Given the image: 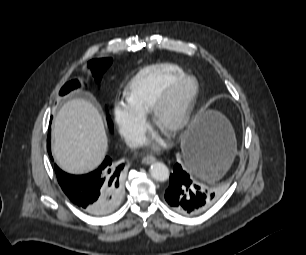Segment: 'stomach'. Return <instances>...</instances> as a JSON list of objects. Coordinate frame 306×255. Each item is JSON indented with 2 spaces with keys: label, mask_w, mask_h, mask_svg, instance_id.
<instances>
[{
  "label": "stomach",
  "mask_w": 306,
  "mask_h": 255,
  "mask_svg": "<svg viewBox=\"0 0 306 255\" xmlns=\"http://www.w3.org/2000/svg\"><path fill=\"white\" fill-rule=\"evenodd\" d=\"M192 142L215 147H223L224 143L229 144V154L219 160L215 169L212 171V175L208 176L201 171L192 170L196 177L208 182L220 178L228 170L235 154V137L229 121L217 111L210 110L201 112L193 119L184 134L182 141L183 151Z\"/></svg>",
  "instance_id": "stomach-1"
}]
</instances>
